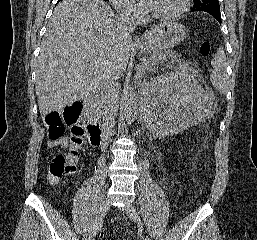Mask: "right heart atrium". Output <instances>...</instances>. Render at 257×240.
<instances>
[{
  "label": "right heart atrium",
  "mask_w": 257,
  "mask_h": 240,
  "mask_svg": "<svg viewBox=\"0 0 257 240\" xmlns=\"http://www.w3.org/2000/svg\"><path fill=\"white\" fill-rule=\"evenodd\" d=\"M115 9L123 16L139 22L144 17V9L138 0H111Z\"/></svg>",
  "instance_id": "obj_1"
}]
</instances>
